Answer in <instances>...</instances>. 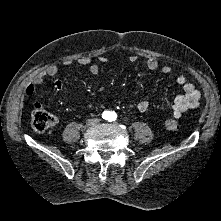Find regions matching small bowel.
<instances>
[{
  "label": "small bowel",
  "instance_id": "small-bowel-1",
  "mask_svg": "<svg viewBox=\"0 0 221 221\" xmlns=\"http://www.w3.org/2000/svg\"><path fill=\"white\" fill-rule=\"evenodd\" d=\"M100 61L102 63H107L108 59L101 56ZM131 62L136 61L135 56L129 58ZM70 61H66V64H70ZM78 63L82 66H89V71L91 74L96 75L99 72V66L97 64H92L89 57L83 56L79 58ZM144 66L149 70L160 69L165 75L172 74V68L168 65H160L159 62L153 57H146L143 61ZM58 73V67L56 65H49L47 68L40 71L34 79L27 85L25 93L27 96L34 95L35 91L39 86L44 84L46 80L50 77L56 76ZM175 82L180 85L183 89V93L176 96L173 102L168 105L165 104L163 107L170 108L173 111L174 116H181L184 112L189 109L195 108L198 105L201 94L200 91L195 87L194 83L189 81L185 74L178 73L175 75ZM52 87L57 91L63 92V83L59 79H55L51 83ZM40 106L39 103H35L34 107ZM137 108L141 112H146L150 108V103L146 100H141L137 104Z\"/></svg>",
  "mask_w": 221,
  "mask_h": 221
}]
</instances>
